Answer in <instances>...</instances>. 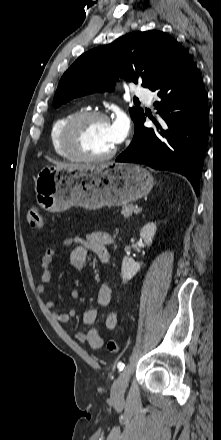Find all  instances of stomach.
Wrapping results in <instances>:
<instances>
[{
	"mask_svg": "<svg viewBox=\"0 0 221 440\" xmlns=\"http://www.w3.org/2000/svg\"><path fill=\"white\" fill-rule=\"evenodd\" d=\"M154 185L151 173L140 165L104 163L84 169L44 167L35 180L37 203L50 212L71 206L95 210L120 206L146 196Z\"/></svg>",
	"mask_w": 221,
	"mask_h": 440,
	"instance_id": "stomach-1",
	"label": "stomach"
}]
</instances>
